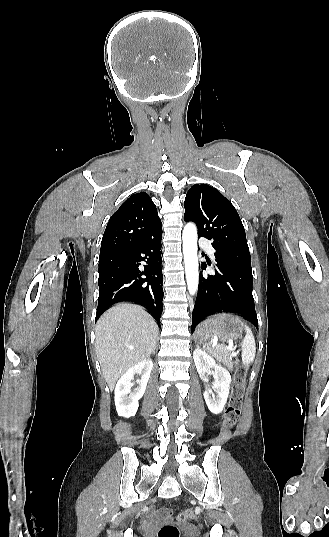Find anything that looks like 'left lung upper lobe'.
<instances>
[{"instance_id": "left-lung-upper-lobe-1", "label": "left lung upper lobe", "mask_w": 329, "mask_h": 537, "mask_svg": "<svg viewBox=\"0 0 329 537\" xmlns=\"http://www.w3.org/2000/svg\"><path fill=\"white\" fill-rule=\"evenodd\" d=\"M185 221L196 223L198 237L212 240L214 255L251 268L250 252L241 219L217 189L195 184L185 198Z\"/></svg>"}]
</instances>
